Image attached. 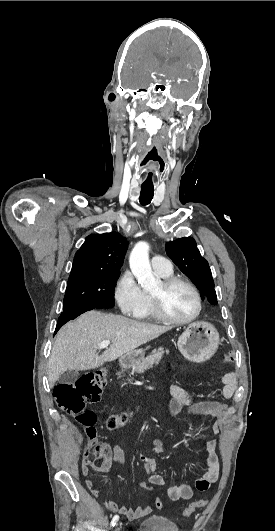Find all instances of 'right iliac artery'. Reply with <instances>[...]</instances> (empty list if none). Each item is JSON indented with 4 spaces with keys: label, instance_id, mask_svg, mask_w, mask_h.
Listing matches in <instances>:
<instances>
[{
    "label": "right iliac artery",
    "instance_id": "1",
    "mask_svg": "<svg viewBox=\"0 0 275 531\" xmlns=\"http://www.w3.org/2000/svg\"><path fill=\"white\" fill-rule=\"evenodd\" d=\"M119 519L118 515H115L111 521V527H114Z\"/></svg>",
    "mask_w": 275,
    "mask_h": 531
}]
</instances>
